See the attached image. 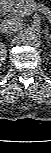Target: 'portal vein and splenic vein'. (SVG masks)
I'll list each match as a JSON object with an SVG mask.
<instances>
[{
  "label": "portal vein and splenic vein",
  "mask_w": 51,
  "mask_h": 153,
  "mask_svg": "<svg viewBox=\"0 0 51 153\" xmlns=\"http://www.w3.org/2000/svg\"><path fill=\"white\" fill-rule=\"evenodd\" d=\"M41 10V7L40 6H38V5H35V6H30V7H27L26 9H25V14L26 15H29L30 13H32V12H34V11H40Z\"/></svg>",
  "instance_id": "18ae733b"
}]
</instances>
